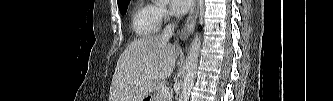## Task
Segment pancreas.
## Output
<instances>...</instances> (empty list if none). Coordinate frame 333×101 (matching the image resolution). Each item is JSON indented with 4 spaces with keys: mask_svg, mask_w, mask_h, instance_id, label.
Listing matches in <instances>:
<instances>
[{
    "mask_svg": "<svg viewBox=\"0 0 333 101\" xmlns=\"http://www.w3.org/2000/svg\"><path fill=\"white\" fill-rule=\"evenodd\" d=\"M154 101H171V95H169V96H167V97H162V96L160 95V92H159V93H157V95H156Z\"/></svg>",
    "mask_w": 333,
    "mask_h": 101,
    "instance_id": "cf45deb5",
    "label": "pancreas"
}]
</instances>
